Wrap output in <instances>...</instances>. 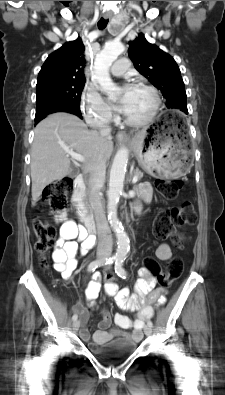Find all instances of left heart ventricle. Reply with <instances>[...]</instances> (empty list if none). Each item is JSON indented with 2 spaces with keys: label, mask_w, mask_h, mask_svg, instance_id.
Instances as JSON below:
<instances>
[{
  "label": "left heart ventricle",
  "mask_w": 225,
  "mask_h": 395,
  "mask_svg": "<svg viewBox=\"0 0 225 395\" xmlns=\"http://www.w3.org/2000/svg\"><path fill=\"white\" fill-rule=\"evenodd\" d=\"M152 105V95L143 88H135L134 97L126 113V117L131 120L144 119L151 111Z\"/></svg>",
  "instance_id": "b2bd125f"
}]
</instances>
